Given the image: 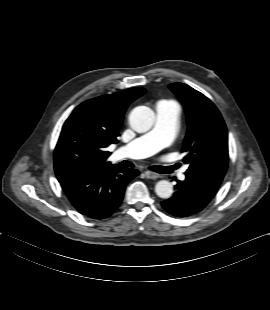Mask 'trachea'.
<instances>
[{
  "label": "trachea",
  "instance_id": "3493384b",
  "mask_svg": "<svg viewBox=\"0 0 270 310\" xmlns=\"http://www.w3.org/2000/svg\"><path fill=\"white\" fill-rule=\"evenodd\" d=\"M121 165L127 166V167H133L134 165L129 161H122ZM177 168V165L175 166H152L150 167V170L155 171L157 173H170L172 170Z\"/></svg>",
  "mask_w": 270,
  "mask_h": 310
}]
</instances>
